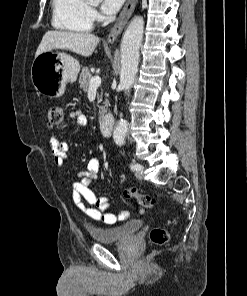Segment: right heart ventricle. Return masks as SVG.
Instances as JSON below:
<instances>
[{"label":"right heart ventricle","mask_w":247,"mask_h":296,"mask_svg":"<svg viewBox=\"0 0 247 296\" xmlns=\"http://www.w3.org/2000/svg\"><path fill=\"white\" fill-rule=\"evenodd\" d=\"M52 25L70 32H88L93 27L87 0H52Z\"/></svg>","instance_id":"obj_1"}]
</instances>
